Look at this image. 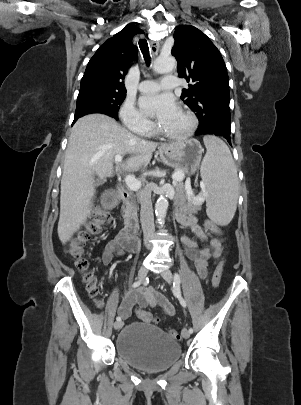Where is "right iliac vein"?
I'll return each instance as SVG.
<instances>
[{
	"label": "right iliac vein",
	"instance_id": "obj_1",
	"mask_svg": "<svg viewBox=\"0 0 301 405\" xmlns=\"http://www.w3.org/2000/svg\"><path fill=\"white\" fill-rule=\"evenodd\" d=\"M147 269L145 267H141L139 272H138V279L139 281H142L145 279L146 275H147ZM123 326V322L122 321H116L114 323V329L115 330H119L120 328H122Z\"/></svg>",
	"mask_w": 301,
	"mask_h": 405
}]
</instances>
